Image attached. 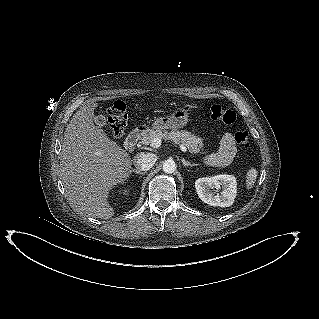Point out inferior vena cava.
<instances>
[{
    "instance_id": "1",
    "label": "inferior vena cava",
    "mask_w": 319,
    "mask_h": 319,
    "mask_svg": "<svg viewBox=\"0 0 319 319\" xmlns=\"http://www.w3.org/2000/svg\"><path fill=\"white\" fill-rule=\"evenodd\" d=\"M134 165L137 169L147 171L153 167L156 162V157L152 153H139L133 159Z\"/></svg>"
}]
</instances>
